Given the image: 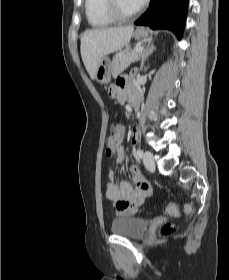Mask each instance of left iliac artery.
Returning <instances> with one entry per match:
<instances>
[{
	"label": "left iliac artery",
	"instance_id": "44dca946",
	"mask_svg": "<svg viewBox=\"0 0 229 280\" xmlns=\"http://www.w3.org/2000/svg\"><path fill=\"white\" fill-rule=\"evenodd\" d=\"M136 155L139 157V158H142L143 156V151L141 149H137L136 150Z\"/></svg>",
	"mask_w": 229,
	"mask_h": 280
}]
</instances>
